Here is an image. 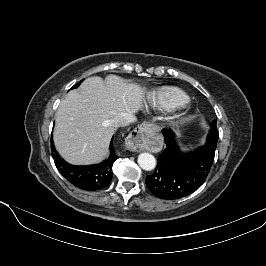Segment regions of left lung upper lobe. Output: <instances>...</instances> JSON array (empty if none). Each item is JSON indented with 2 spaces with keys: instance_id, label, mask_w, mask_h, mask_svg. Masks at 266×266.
Returning <instances> with one entry per match:
<instances>
[{
  "instance_id": "1",
  "label": "left lung upper lobe",
  "mask_w": 266,
  "mask_h": 266,
  "mask_svg": "<svg viewBox=\"0 0 266 266\" xmlns=\"http://www.w3.org/2000/svg\"><path fill=\"white\" fill-rule=\"evenodd\" d=\"M219 133L216 127V120H213L211 124V129L209 131V134L207 136V142L206 143H212L214 146L217 145Z\"/></svg>"
}]
</instances>
